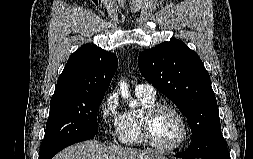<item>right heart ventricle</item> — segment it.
Instances as JSON below:
<instances>
[{"label":"right heart ventricle","mask_w":253,"mask_h":159,"mask_svg":"<svg viewBox=\"0 0 253 159\" xmlns=\"http://www.w3.org/2000/svg\"><path fill=\"white\" fill-rule=\"evenodd\" d=\"M140 101V108L129 109L123 114L121 126L118 131V140L122 145L140 146L143 141L140 133V123L143 111L157 103L155 96L136 94Z\"/></svg>","instance_id":"right-heart-ventricle-1"}]
</instances>
